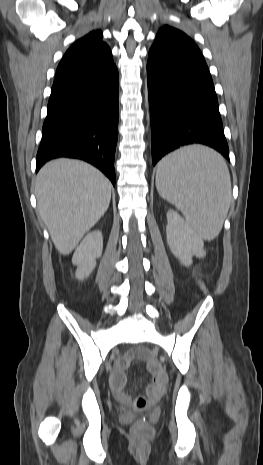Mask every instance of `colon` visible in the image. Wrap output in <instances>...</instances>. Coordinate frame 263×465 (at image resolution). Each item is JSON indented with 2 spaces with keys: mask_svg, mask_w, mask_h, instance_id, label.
Masks as SVG:
<instances>
[{
  "mask_svg": "<svg viewBox=\"0 0 263 465\" xmlns=\"http://www.w3.org/2000/svg\"><path fill=\"white\" fill-rule=\"evenodd\" d=\"M162 391L158 389H154L151 391L149 394L152 399L157 398ZM135 407L139 410H145L150 407L151 401L148 398L145 397H139L135 400L134 403ZM135 430L138 434L144 435L150 432L151 428L150 426L144 422L143 420H139L136 425H135Z\"/></svg>",
  "mask_w": 263,
  "mask_h": 465,
  "instance_id": "1",
  "label": "colon"
}]
</instances>
